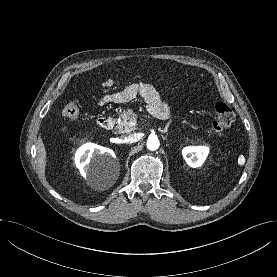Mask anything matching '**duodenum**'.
<instances>
[{
    "label": "duodenum",
    "mask_w": 277,
    "mask_h": 277,
    "mask_svg": "<svg viewBox=\"0 0 277 277\" xmlns=\"http://www.w3.org/2000/svg\"><path fill=\"white\" fill-rule=\"evenodd\" d=\"M97 123L101 128L106 130H109L113 127V121L111 118H108V117H104V116L100 117Z\"/></svg>",
    "instance_id": "1"
}]
</instances>
